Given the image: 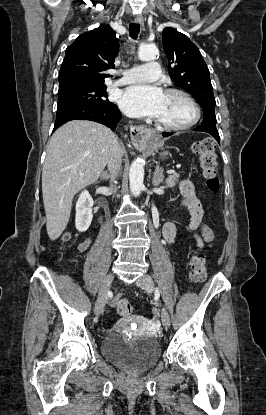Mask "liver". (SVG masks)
Here are the masks:
<instances>
[{
  "instance_id": "obj_1",
  "label": "liver",
  "mask_w": 266,
  "mask_h": 415,
  "mask_svg": "<svg viewBox=\"0 0 266 415\" xmlns=\"http://www.w3.org/2000/svg\"><path fill=\"white\" fill-rule=\"evenodd\" d=\"M115 140L109 128L87 120L70 121L50 138L42 170V194L51 240L65 230L74 195L98 180Z\"/></svg>"
}]
</instances>
